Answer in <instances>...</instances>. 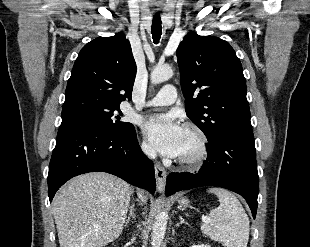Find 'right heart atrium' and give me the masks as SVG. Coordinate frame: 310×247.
<instances>
[{"instance_id":"obj_1","label":"right heart atrium","mask_w":310,"mask_h":247,"mask_svg":"<svg viewBox=\"0 0 310 247\" xmlns=\"http://www.w3.org/2000/svg\"><path fill=\"white\" fill-rule=\"evenodd\" d=\"M140 148H141L142 152H143L145 155H147V156H152L153 153H154V152H153V149H152V147H151V145H150L147 141H145V140H143V141L141 142Z\"/></svg>"}]
</instances>
